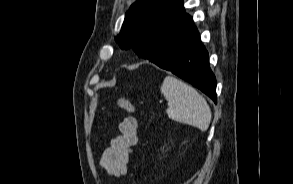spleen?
<instances>
[{"mask_svg":"<svg viewBox=\"0 0 293 184\" xmlns=\"http://www.w3.org/2000/svg\"><path fill=\"white\" fill-rule=\"evenodd\" d=\"M160 91L168 101L166 113L170 119L195 126L201 131L208 129L211 110L196 89L175 77L167 76Z\"/></svg>","mask_w":293,"mask_h":184,"instance_id":"spleen-1","label":"spleen"}]
</instances>
